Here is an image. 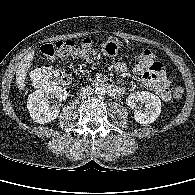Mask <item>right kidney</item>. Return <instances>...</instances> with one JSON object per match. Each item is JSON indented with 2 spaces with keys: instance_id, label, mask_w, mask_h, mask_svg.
<instances>
[{
  "instance_id": "obj_1",
  "label": "right kidney",
  "mask_w": 195,
  "mask_h": 195,
  "mask_svg": "<svg viewBox=\"0 0 195 195\" xmlns=\"http://www.w3.org/2000/svg\"><path fill=\"white\" fill-rule=\"evenodd\" d=\"M51 96L64 101L68 93L65 88L54 85L38 89L29 95L27 109L34 122L44 124L58 117L60 109L56 105H50L48 99Z\"/></svg>"
}]
</instances>
